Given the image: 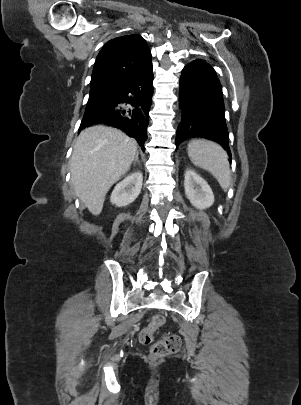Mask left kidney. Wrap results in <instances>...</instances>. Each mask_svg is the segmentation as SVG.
Masks as SVG:
<instances>
[{
	"mask_svg": "<svg viewBox=\"0 0 301 405\" xmlns=\"http://www.w3.org/2000/svg\"><path fill=\"white\" fill-rule=\"evenodd\" d=\"M185 195L198 209H206L214 203L213 192L208 183L193 170L185 172Z\"/></svg>",
	"mask_w": 301,
	"mask_h": 405,
	"instance_id": "1",
	"label": "left kidney"
}]
</instances>
